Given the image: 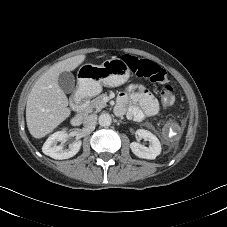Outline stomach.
Instances as JSON below:
<instances>
[{
	"label": "stomach",
	"instance_id": "obj_1",
	"mask_svg": "<svg viewBox=\"0 0 227 227\" xmlns=\"http://www.w3.org/2000/svg\"><path fill=\"white\" fill-rule=\"evenodd\" d=\"M78 75L81 92L91 97L100 93L102 86L117 87L124 84L130 77V69L122 59L113 57L101 65H82Z\"/></svg>",
	"mask_w": 227,
	"mask_h": 227
}]
</instances>
